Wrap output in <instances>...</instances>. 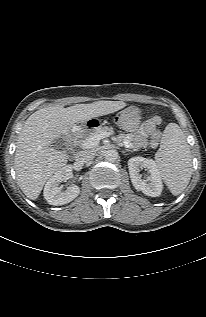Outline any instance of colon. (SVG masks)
Segmentation results:
<instances>
[{"instance_id":"1","label":"colon","mask_w":206,"mask_h":317,"mask_svg":"<svg viewBox=\"0 0 206 317\" xmlns=\"http://www.w3.org/2000/svg\"><path fill=\"white\" fill-rule=\"evenodd\" d=\"M113 120L122 129H134L141 122V111L136 106H130L118 112Z\"/></svg>"}]
</instances>
